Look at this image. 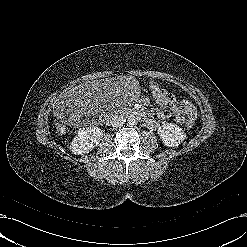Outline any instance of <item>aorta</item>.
<instances>
[{"instance_id": "obj_1", "label": "aorta", "mask_w": 247, "mask_h": 247, "mask_svg": "<svg viewBox=\"0 0 247 247\" xmlns=\"http://www.w3.org/2000/svg\"><path fill=\"white\" fill-rule=\"evenodd\" d=\"M139 119L135 115H130L127 119V122L129 125H136L138 123Z\"/></svg>"}]
</instances>
